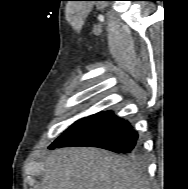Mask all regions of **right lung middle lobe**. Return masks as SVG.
<instances>
[{"label":"right lung middle lobe","mask_w":188,"mask_h":189,"mask_svg":"<svg viewBox=\"0 0 188 189\" xmlns=\"http://www.w3.org/2000/svg\"><path fill=\"white\" fill-rule=\"evenodd\" d=\"M72 125H73V124H72ZM72 125H71V126H72ZM71 126H70V127H71ZM70 127H69V128H70ZM69 128H68V129H69ZM68 129H67V130H68ZM65 131H66V130H65ZM65 131H64V132H65Z\"/></svg>","instance_id":"obj_1"}]
</instances>
